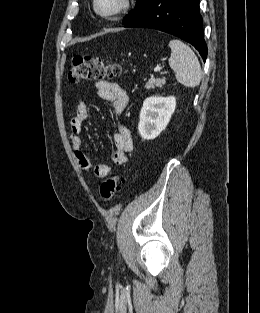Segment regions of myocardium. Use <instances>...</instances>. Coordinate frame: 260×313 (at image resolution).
I'll return each mask as SVG.
<instances>
[{"mask_svg":"<svg viewBox=\"0 0 260 313\" xmlns=\"http://www.w3.org/2000/svg\"><path fill=\"white\" fill-rule=\"evenodd\" d=\"M130 5H131V0H120L118 6L114 10L108 11V12H102L98 8V0H93L94 12L98 16L105 18V19H111V18H114L116 16L123 14L130 8Z\"/></svg>","mask_w":260,"mask_h":313,"instance_id":"f54148a6","label":"myocardium"}]
</instances>
